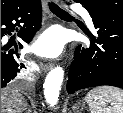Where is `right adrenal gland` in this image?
Here are the masks:
<instances>
[{"instance_id":"right-adrenal-gland-1","label":"right adrenal gland","mask_w":123,"mask_h":113,"mask_svg":"<svg viewBox=\"0 0 123 113\" xmlns=\"http://www.w3.org/2000/svg\"><path fill=\"white\" fill-rule=\"evenodd\" d=\"M24 111H25L24 113H30V109L28 108V105H26Z\"/></svg>"}]
</instances>
